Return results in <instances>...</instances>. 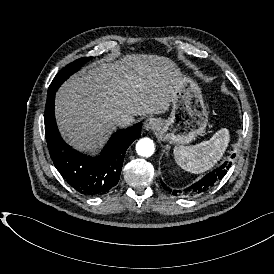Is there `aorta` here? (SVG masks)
I'll return each mask as SVG.
<instances>
[{
  "instance_id": "762f6f07",
  "label": "aorta",
  "mask_w": 274,
  "mask_h": 274,
  "mask_svg": "<svg viewBox=\"0 0 274 274\" xmlns=\"http://www.w3.org/2000/svg\"><path fill=\"white\" fill-rule=\"evenodd\" d=\"M154 142L150 138H141L136 143V152L143 157H150L154 153Z\"/></svg>"
}]
</instances>
